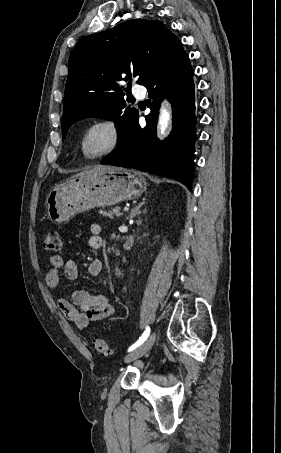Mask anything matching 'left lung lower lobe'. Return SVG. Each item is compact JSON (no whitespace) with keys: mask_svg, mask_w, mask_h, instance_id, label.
<instances>
[{"mask_svg":"<svg viewBox=\"0 0 281 453\" xmlns=\"http://www.w3.org/2000/svg\"><path fill=\"white\" fill-rule=\"evenodd\" d=\"M144 86L151 113L142 129L136 119L118 147L100 163L148 171L180 181L191 190L196 141L193 70L182 44L174 37L161 62ZM169 98L173 130L159 142L156 123L161 99ZM138 118V117H137Z\"/></svg>","mask_w":281,"mask_h":453,"instance_id":"0a47b994","label":"left lung lower lobe"}]
</instances>
